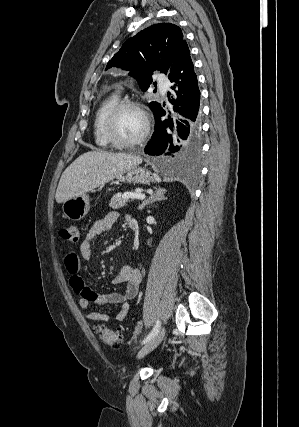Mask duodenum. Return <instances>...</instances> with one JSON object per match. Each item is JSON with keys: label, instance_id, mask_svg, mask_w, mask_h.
I'll return each instance as SVG.
<instances>
[{"label": "duodenum", "instance_id": "duodenum-1", "mask_svg": "<svg viewBox=\"0 0 299 427\" xmlns=\"http://www.w3.org/2000/svg\"><path fill=\"white\" fill-rule=\"evenodd\" d=\"M127 224L129 226V228L132 230H135L137 227V223H136L135 219L131 216L127 217Z\"/></svg>", "mask_w": 299, "mask_h": 427}]
</instances>
